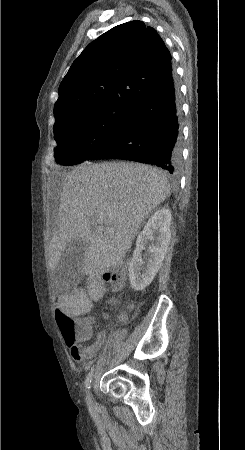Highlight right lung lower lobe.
<instances>
[{
    "label": "right lung lower lobe",
    "instance_id": "98d812e1",
    "mask_svg": "<svg viewBox=\"0 0 245 450\" xmlns=\"http://www.w3.org/2000/svg\"><path fill=\"white\" fill-rule=\"evenodd\" d=\"M179 117V92L172 73L132 106L121 136L88 160L126 159L154 164L177 174L181 166Z\"/></svg>",
    "mask_w": 245,
    "mask_h": 450
}]
</instances>
